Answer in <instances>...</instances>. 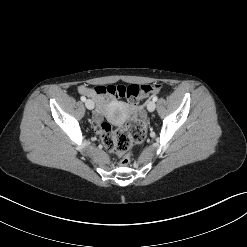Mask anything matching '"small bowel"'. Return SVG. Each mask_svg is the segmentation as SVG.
<instances>
[{"label": "small bowel", "mask_w": 247, "mask_h": 247, "mask_svg": "<svg viewBox=\"0 0 247 247\" xmlns=\"http://www.w3.org/2000/svg\"><path fill=\"white\" fill-rule=\"evenodd\" d=\"M101 88V93H96V88ZM95 87L94 89L85 87V86H80L79 87V92L81 94L87 95L91 97L97 106V110L94 114V120L96 123H100L103 118V113L105 112L106 109H108L114 102V96L109 94L108 92L105 91V86H98ZM128 111L132 113L140 112V107L136 104L135 106H130V104L127 105Z\"/></svg>", "instance_id": "1"}]
</instances>
